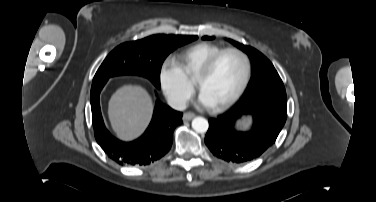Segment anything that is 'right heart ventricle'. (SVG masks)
<instances>
[{"label": "right heart ventricle", "instance_id": "right-heart-ventricle-1", "mask_svg": "<svg viewBox=\"0 0 376 202\" xmlns=\"http://www.w3.org/2000/svg\"><path fill=\"white\" fill-rule=\"evenodd\" d=\"M223 47L209 42H201L178 52L173 61L180 68L184 76L194 82L198 72L205 62Z\"/></svg>", "mask_w": 376, "mask_h": 202}]
</instances>
